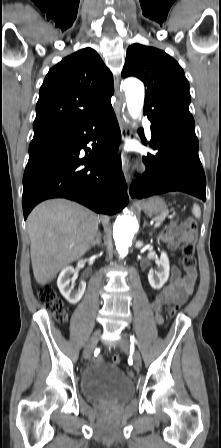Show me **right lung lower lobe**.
<instances>
[{
    "label": "right lung lower lobe",
    "mask_w": 221,
    "mask_h": 448,
    "mask_svg": "<svg viewBox=\"0 0 221 448\" xmlns=\"http://www.w3.org/2000/svg\"><path fill=\"white\" fill-rule=\"evenodd\" d=\"M120 140L111 103L33 139L23 176L24 219L39 202L57 197L77 201L98 213L119 212L129 201L118 157ZM90 141L92 149L86 146Z\"/></svg>",
    "instance_id": "98d812e1"
}]
</instances>
